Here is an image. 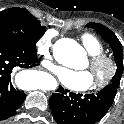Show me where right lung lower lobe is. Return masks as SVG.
Segmentation results:
<instances>
[{
	"label": "right lung lower lobe",
	"mask_w": 124,
	"mask_h": 124,
	"mask_svg": "<svg viewBox=\"0 0 124 124\" xmlns=\"http://www.w3.org/2000/svg\"><path fill=\"white\" fill-rule=\"evenodd\" d=\"M38 63L36 51L21 44L0 41V120L12 116L26 97L13 86L12 74L19 68H31Z\"/></svg>",
	"instance_id": "obj_1"
}]
</instances>
